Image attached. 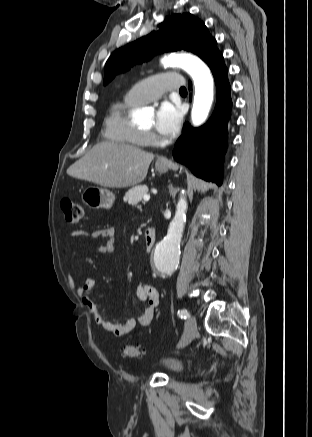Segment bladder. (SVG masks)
Instances as JSON below:
<instances>
[{"label":"bladder","mask_w":312,"mask_h":437,"mask_svg":"<svg viewBox=\"0 0 312 437\" xmlns=\"http://www.w3.org/2000/svg\"><path fill=\"white\" fill-rule=\"evenodd\" d=\"M158 364L164 368L166 374L170 377L179 376L185 371V366L180 360L169 356H160Z\"/></svg>","instance_id":"bladder-1"}]
</instances>
